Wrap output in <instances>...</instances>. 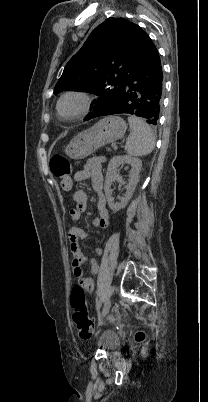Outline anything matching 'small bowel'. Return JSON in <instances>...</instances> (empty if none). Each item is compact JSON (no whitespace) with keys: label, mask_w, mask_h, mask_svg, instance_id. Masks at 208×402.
Wrapping results in <instances>:
<instances>
[{"label":"small bowel","mask_w":208,"mask_h":402,"mask_svg":"<svg viewBox=\"0 0 208 402\" xmlns=\"http://www.w3.org/2000/svg\"><path fill=\"white\" fill-rule=\"evenodd\" d=\"M74 179L77 182H85L88 179L91 180L92 187L96 193L99 194L97 200V209L99 216L96 217L92 224L96 228L105 229L109 226L110 214L106 206L105 198L102 196L103 192V173H102V159L101 158H91L89 159L84 167L74 174ZM87 192L83 189H79L74 192L73 199L76 203V208L70 213V217L73 221H77L82 213L87 209ZM86 232L77 226H73L68 231V239L72 246V259H73V273L80 279L83 286L87 291H92L94 289V282L91 278L84 275L82 264L84 262L83 254L80 250L76 248L79 240L86 238ZM100 254L101 250H97ZM91 271L97 273L99 270V265L96 260H91L90 262Z\"/></svg>","instance_id":"obj_1"}]
</instances>
